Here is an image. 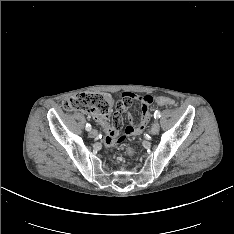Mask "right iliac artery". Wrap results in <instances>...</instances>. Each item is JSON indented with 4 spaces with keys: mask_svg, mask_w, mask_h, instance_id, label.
Masks as SVG:
<instances>
[{
    "mask_svg": "<svg viewBox=\"0 0 234 234\" xmlns=\"http://www.w3.org/2000/svg\"><path fill=\"white\" fill-rule=\"evenodd\" d=\"M86 130H87V131H90V130H91V125L88 124V123L86 124Z\"/></svg>",
    "mask_w": 234,
    "mask_h": 234,
    "instance_id": "right-iliac-artery-1",
    "label": "right iliac artery"
}]
</instances>
